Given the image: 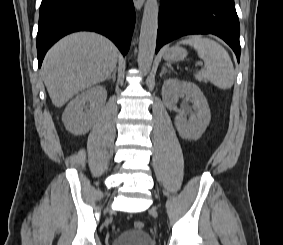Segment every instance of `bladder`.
Segmentation results:
<instances>
[{
  "label": "bladder",
  "mask_w": 283,
  "mask_h": 245,
  "mask_svg": "<svg viewBox=\"0 0 283 245\" xmlns=\"http://www.w3.org/2000/svg\"><path fill=\"white\" fill-rule=\"evenodd\" d=\"M111 245H155V242L147 231L126 230L116 236Z\"/></svg>",
  "instance_id": "bladder-1"
}]
</instances>
